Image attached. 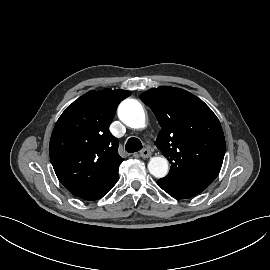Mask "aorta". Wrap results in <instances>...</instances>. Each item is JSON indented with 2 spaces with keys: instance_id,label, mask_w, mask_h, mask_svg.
Wrapping results in <instances>:
<instances>
[{
  "instance_id": "aorta-1",
  "label": "aorta",
  "mask_w": 270,
  "mask_h": 270,
  "mask_svg": "<svg viewBox=\"0 0 270 270\" xmlns=\"http://www.w3.org/2000/svg\"><path fill=\"white\" fill-rule=\"evenodd\" d=\"M119 119L127 126L141 129L146 126V117L142 105L135 99H126L119 105ZM148 170L156 178H163L168 173V161L165 157L157 156L150 159Z\"/></svg>"
}]
</instances>
